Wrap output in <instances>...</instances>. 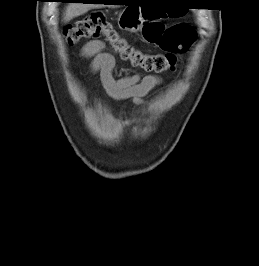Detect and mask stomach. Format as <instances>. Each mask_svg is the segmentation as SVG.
Instances as JSON below:
<instances>
[{
	"mask_svg": "<svg viewBox=\"0 0 259 266\" xmlns=\"http://www.w3.org/2000/svg\"><path fill=\"white\" fill-rule=\"evenodd\" d=\"M118 25L123 30L137 32L142 28V18L131 8H127L121 13Z\"/></svg>",
	"mask_w": 259,
	"mask_h": 266,
	"instance_id": "stomach-1",
	"label": "stomach"
}]
</instances>
